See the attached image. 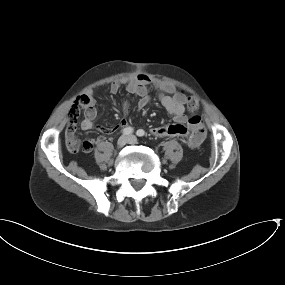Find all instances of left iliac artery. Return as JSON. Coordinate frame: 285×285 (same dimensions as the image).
Segmentation results:
<instances>
[{
    "instance_id": "44dca946",
    "label": "left iliac artery",
    "mask_w": 285,
    "mask_h": 285,
    "mask_svg": "<svg viewBox=\"0 0 285 285\" xmlns=\"http://www.w3.org/2000/svg\"><path fill=\"white\" fill-rule=\"evenodd\" d=\"M136 134H137V136H139V137H143V136L145 135V132H144V130L139 129V130H137Z\"/></svg>"
}]
</instances>
